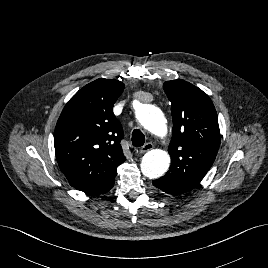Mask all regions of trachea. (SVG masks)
Here are the masks:
<instances>
[{
    "mask_svg": "<svg viewBox=\"0 0 268 268\" xmlns=\"http://www.w3.org/2000/svg\"><path fill=\"white\" fill-rule=\"evenodd\" d=\"M145 143V136L139 129H134L132 132V145L135 147L143 146Z\"/></svg>",
    "mask_w": 268,
    "mask_h": 268,
    "instance_id": "1",
    "label": "trachea"
}]
</instances>
